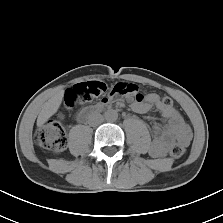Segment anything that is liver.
I'll return each mask as SVG.
<instances>
[{
    "mask_svg": "<svg viewBox=\"0 0 223 223\" xmlns=\"http://www.w3.org/2000/svg\"><path fill=\"white\" fill-rule=\"evenodd\" d=\"M63 94V91L58 92L43 105V108L37 118L38 127H41L52 115L57 112L61 105Z\"/></svg>",
    "mask_w": 223,
    "mask_h": 223,
    "instance_id": "liver-1",
    "label": "liver"
}]
</instances>
